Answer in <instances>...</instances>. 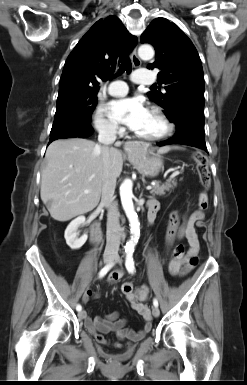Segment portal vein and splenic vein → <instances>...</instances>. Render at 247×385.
<instances>
[{
	"label": "portal vein and splenic vein",
	"mask_w": 247,
	"mask_h": 385,
	"mask_svg": "<svg viewBox=\"0 0 247 385\" xmlns=\"http://www.w3.org/2000/svg\"><path fill=\"white\" fill-rule=\"evenodd\" d=\"M177 174H178V171H175V172L173 173V175H177ZM146 189H147V190H151V189H152V186L149 185V186L146 187ZM84 192H85V193H89L90 191H89V190H85Z\"/></svg>",
	"instance_id": "18ae733b"
}]
</instances>
